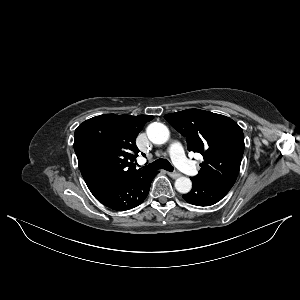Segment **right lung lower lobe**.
I'll return each instance as SVG.
<instances>
[{"label": "right lung lower lobe", "mask_w": 300, "mask_h": 300, "mask_svg": "<svg viewBox=\"0 0 300 300\" xmlns=\"http://www.w3.org/2000/svg\"><path fill=\"white\" fill-rule=\"evenodd\" d=\"M157 174L158 171H150L141 176L129 177L107 188L93 191L92 194L112 210L132 209L144 202L151 181Z\"/></svg>", "instance_id": "1"}]
</instances>
